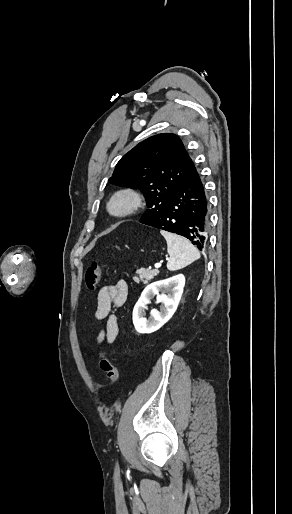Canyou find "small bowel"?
Instances as JSON below:
<instances>
[{
    "label": "small bowel",
    "mask_w": 292,
    "mask_h": 514,
    "mask_svg": "<svg viewBox=\"0 0 292 514\" xmlns=\"http://www.w3.org/2000/svg\"><path fill=\"white\" fill-rule=\"evenodd\" d=\"M128 292L127 283L119 280L101 287L97 296L95 318L105 320V326L97 335V343H112L119 332L118 319L115 312L125 303Z\"/></svg>",
    "instance_id": "c3829d8e"
}]
</instances>
